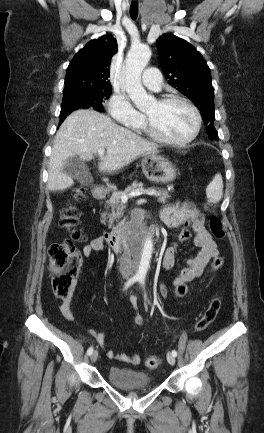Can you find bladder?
Instances as JSON below:
<instances>
[{
  "mask_svg": "<svg viewBox=\"0 0 264 433\" xmlns=\"http://www.w3.org/2000/svg\"><path fill=\"white\" fill-rule=\"evenodd\" d=\"M111 384L125 390H150L153 388L151 376L148 373L112 366L107 371Z\"/></svg>",
  "mask_w": 264,
  "mask_h": 433,
  "instance_id": "31cf9c89",
  "label": "bladder"
}]
</instances>
